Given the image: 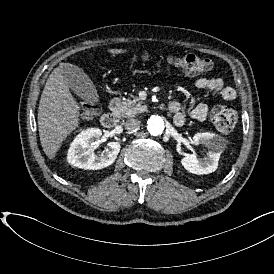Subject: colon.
I'll return each instance as SVG.
<instances>
[{
  "mask_svg": "<svg viewBox=\"0 0 274 274\" xmlns=\"http://www.w3.org/2000/svg\"><path fill=\"white\" fill-rule=\"evenodd\" d=\"M132 61H143L146 63H164L174 66L182 73L200 74L211 70V60L205 56L193 53L187 54H156L143 51L138 55L131 57ZM97 111V103L89 102L83 107L86 115H91ZM212 123L222 132H230L237 123V112L230 105H221L212 111Z\"/></svg>",
  "mask_w": 274,
  "mask_h": 274,
  "instance_id": "5ec220e1",
  "label": "colon"
}]
</instances>
